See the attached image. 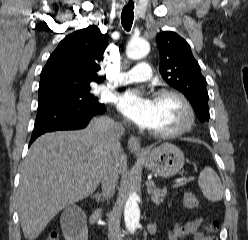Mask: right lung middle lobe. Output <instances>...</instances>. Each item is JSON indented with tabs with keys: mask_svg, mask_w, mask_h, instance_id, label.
<instances>
[{
	"mask_svg": "<svg viewBox=\"0 0 248 240\" xmlns=\"http://www.w3.org/2000/svg\"><path fill=\"white\" fill-rule=\"evenodd\" d=\"M42 104H67L78 107H96L100 103L90 94V90L80 93L38 98V105Z\"/></svg>",
	"mask_w": 248,
	"mask_h": 240,
	"instance_id": "obj_1",
	"label": "right lung middle lobe"
}]
</instances>
